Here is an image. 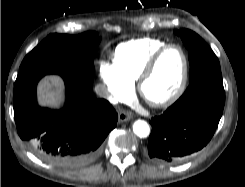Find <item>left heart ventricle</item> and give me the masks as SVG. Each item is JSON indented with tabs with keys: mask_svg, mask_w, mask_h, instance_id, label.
Listing matches in <instances>:
<instances>
[{
	"mask_svg": "<svg viewBox=\"0 0 245 187\" xmlns=\"http://www.w3.org/2000/svg\"><path fill=\"white\" fill-rule=\"evenodd\" d=\"M183 69V59L177 49L168 50L144 85L148 100L159 101L170 95L177 87Z\"/></svg>",
	"mask_w": 245,
	"mask_h": 187,
	"instance_id": "1",
	"label": "left heart ventricle"
}]
</instances>
